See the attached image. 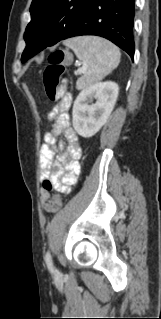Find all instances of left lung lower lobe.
Instances as JSON below:
<instances>
[{"mask_svg": "<svg viewBox=\"0 0 161 319\" xmlns=\"http://www.w3.org/2000/svg\"><path fill=\"white\" fill-rule=\"evenodd\" d=\"M134 2L135 0H94L62 40L81 35L101 36L119 46L133 59ZM33 42L32 39L27 60L37 54L38 49H34Z\"/></svg>", "mask_w": 161, "mask_h": 319, "instance_id": "left-lung-lower-lobe-1", "label": "left lung lower lobe"}]
</instances>
